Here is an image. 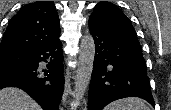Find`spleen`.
I'll return each instance as SVG.
<instances>
[{"mask_svg":"<svg viewBox=\"0 0 171 110\" xmlns=\"http://www.w3.org/2000/svg\"><path fill=\"white\" fill-rule=\"evenodd\" d=\"M105 110H149V107L140 98L131 97L114 101Z\"/></svg>","mask_w":171,"mask_h":110,"instance_id":"obj_1","label":"spleen"}]
</instances>
